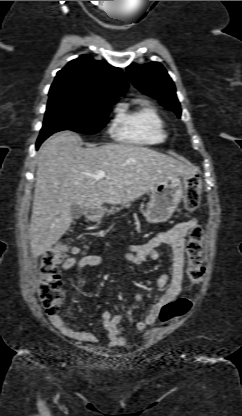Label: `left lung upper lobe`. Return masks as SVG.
Here are the masks:
<instances>
[{
  "label": "left lung upper lobe",
  "instance_id": "5c2ea615",
  "mask_svg": "<svg viewBox=\"0 0 242 416\" xmlns=\"http://www.w3.org/2000/svg\"><path fill=\"white\" fill-rule=\"evenodd\" d=\"M129 79L142 93L157 99L166 109L181 116L175 86L165 68L159 62L139 66L131 64L126 69Z\"/></svg>",
  "mask_w": 242,
  "mask_h": 416
}]
</instances>
